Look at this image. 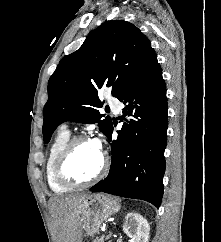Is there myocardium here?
I'll list each match as a JSON object with an SVG mask.
<instances>
[{
    "label": "myocardium",
    "mask_w": 221,
    "mask_h": 242,
    "mask_svg": "<svg viewBox=\"0 0 221 242\" xmlns=\"http://www.w3.org/2000/svg\"><path fill=\"white\" fill-rule=\"evenodd\" d=\"M87 135H76L70 138L61 150L55 164V175L64 185L70 187H82L99 181L107 172L109 159L105 151L102 152V162L97 173L89 179H77L67 172V164L75 146L82 141H90Z\"/></svg>",
    "instance_id": "f54148a6"
}]
</instances>
